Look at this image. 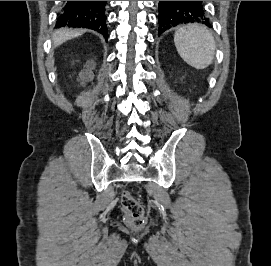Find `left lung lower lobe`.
Returning <instances> with one entry per match:
<instances>
[{"mask_svg": "<svg viewBox=\"0 0 271 266\" xmlns=\"http://www.w3.org/2000/svg\"><path fill=\"white\" fill-rule=\"evenodd\" d=\"M158 34L181 23H200L211 27L203 1H159Z\"/></svg>", "mask_w": 271, "mask_h": 266, "instance_id": "obj_1", "label": "left lung lower lobe"}]
</instances>
